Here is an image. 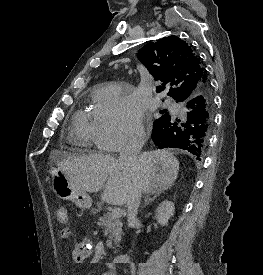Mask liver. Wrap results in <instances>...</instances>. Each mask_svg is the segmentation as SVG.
Returning a JSON list of instances; mask_svg holds the SVG:
<instances>
[{"label":"liver","instance_id":"6515ba94","mask_svg":"<svg viewBox=\"0 0 263 275\" xmlns=\"http://www.w3.org/2000/svg\"><path fill=\"white\" fill-rule=\"evenodd\" d=\"M50 159L82 191L96 193L104 188L102 200L112 205H124L132 184V178L114 156L91 154L66 156L53 151ZM142 191L161 194L170 189L177 178L179 162L167 150L143 152L138 156Z\"/></svg>","mask_w":263,"mask_h":275}]
</instances>
